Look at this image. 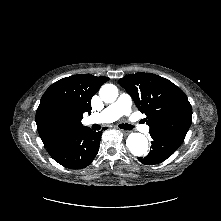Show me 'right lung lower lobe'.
Returning a JSON list of instances; mask_svg holds the SVG:
<instances>
[{"label":"right lung lower lobe","mask_w":221,"mask_h":221,"mask_svg":"<svg viewBox=\"0 0 221 221\" xmlns=\"http://www.w3.org/2000/svg\"><path fill=\"white\" fill-rule=\"evenodd\" d=\"M101 134V131L95 132L87 128L53 144L47 151L64 167L85 168L98 153Z\"/></svg>","instance_id":"obj_1"}]
</instances>
